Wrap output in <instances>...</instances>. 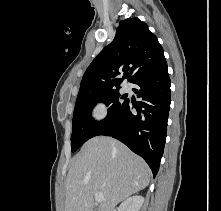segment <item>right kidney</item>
I'll use <instances>...</instances> for the list:
<instances>
[{
	"label": "right kidney",
	"instance_id": "right-kidney-1",
	"mask_svg": "<svg viewBox=\"0 0 221 211\" xmlns=\"http://www.w3.org/2000/svg\"><path fill=\"white\" fill-rule=\"evenodd\" d=\"M144 203V197L135 195L121 203L117 211H140Z\"/></svg>",
	"mask_w": 221,
	"mask_h": 211
}]
</instances>
